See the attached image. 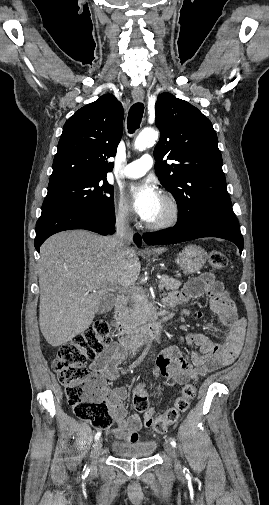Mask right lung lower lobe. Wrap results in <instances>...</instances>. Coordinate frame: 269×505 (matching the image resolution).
Returning a JSON list of instances; mask_svg holds the SVG:
<instances>
[{"label": "right lung lower lobe", "instance_id": "98d812e1", "mask_svg": "<svg viewBox=\"0 0 269 505\" xmlns=\"http://www.w3.org/2000/svg\"><path fill=\"white\" fill-rule=\"evenodd\" d=\"M70 229H85L101 235L115 232V217L105 219L89 211L74 206H55L42 210L36 223L34 246L39 252L41 244L51 235ZM134 241L141 245V237L134 235Z\"/></svg>", "mask_w": 269, "mask_h": 505}]
</instances>
